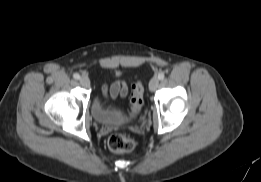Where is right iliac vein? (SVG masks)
Returning <instances> with one entry per match:
<instances>
[{
	"label": "right iliac vein",
	"instance_id": "obj_1",
	"mask_svg": "<svg viewBox=\"0 0 261 182\" xmlns=\"http://www.w3.org/2000/svg\"><path fill=\"white\" fill-rule=\"evenodd\" d=\"M79 81H80V84L82 86H84V87H89L90 86V80L86 76L81 77Z\"/></svg>",
	"mask_w": 261,
	"mask_h": 182
}]
</instances>
